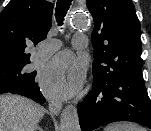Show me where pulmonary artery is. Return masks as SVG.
<instances>
[{
    "label": "pulmonary artery",
    "mask_w": 151,
    "mask_h": 131,
    "mask_svg": "<svg viewBox=\"0 0 151 131\" xmlns=\"http://www.w3.org/2000/svg\"><path fill=\"white\" fill-rule=\"evenodd\" d=\"M73 44L78 49H84L87 46V37L83 34H77L74 36ZM59 45L60 44L58 41L48 43L39 50L38 56L40 58L48 57L51 53L59 48Z\"/></svg>",
    "instance_id": "1"
}]
</instances>
